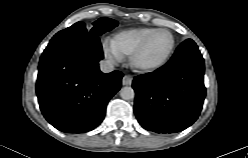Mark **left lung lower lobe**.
Here are the masks:
<instances>
[{
  "label": "left lung lower lobe",
  "mask_w": 248,
  "mask_h": 158,
  "mask_svg": "<svg viewBox=\"0 0 248 158\" xmlns=\"http://www.w3.org/2000/svg\"><path fill=\"white\" fill-rule=\"evenodd\" d=\"M203 75L202 55L195 42L188 39L164 66L134 78V112L142 127L173 133L192 125L206 94Z\"/></svg>",
  "instance_id": "obj_1"
}]
</instances>
